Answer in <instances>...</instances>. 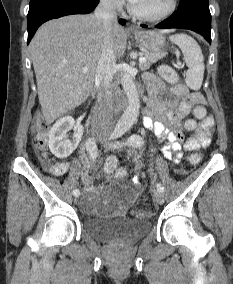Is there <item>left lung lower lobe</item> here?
<instances>
[{"label":"left lung lower lobe","instance_id":"obj_1","mask_svg":"<svg viewBox=\"0 0 233 284\" xmlns=\"http://www.w3.org/2000/svg\"><path fill=\"white\" fill-rule=\"evenodd\" d=\"M147 27L146 25H141ZM156 28H182L195 31L211 42V14L209 0H181L177 11Z\"/></svg>","mask_w":233,"mask_h":284}]
</instances>
